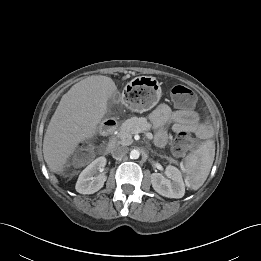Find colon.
<instances>
[{"instance_id": "5ec220e1", "label": "colon", "mask_w": 261, "mask_h": 261, "mask_svg": "<svg viewBox=\"0 0 261 261\" xmlns=\"http://www.w3.org/2000/svg\"><path fill=\"white\" fill-rule=\"evenodd\" d=\"M171 95L174 102L184 108H188L195 103V94L193 91L183 85H176L171 88ZM193 140L187 132L179 133L173 141V151L177 154H183L193 146ZM91 157V151L88 147L78 149L74 154V160L84 162Z\"/></svg>"}]
</instances>
